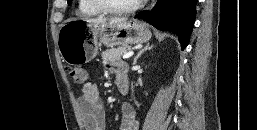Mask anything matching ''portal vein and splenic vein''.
I'll use <instances>...</instances> for the list:
<instances>
[{"instance_id":"1","label":"portal vein and splenic vein","mask_w":257,"mask_h":130,"mask_svg":"<svg viewBox=\"0 0 257 130\" xmlns=\"http://www.w3.org/2000/svg\"><path fill=\"white\" fill-rule=\"evenodd\" d=\"M133 54H134L133 51L125 52V53L122 55V57H123V59H128V58H130Z\"/></svg>"}]
</instances>
